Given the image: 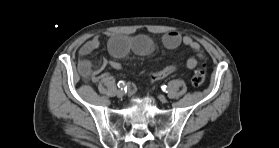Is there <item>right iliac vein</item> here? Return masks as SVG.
Returning a JSON list of instances; mask_svg holds the SVG:
<instances>
[{
    "label": "right iliac vein",
    "mask_w": 279,
    "mask_h": 148,
    "mask_svg": "<svg viewBox=\"0 0 279 148\" xmlns=\"http://www.w3.org/2000/svg\"><path fill=\"white\" fill-rule=\"evenodd\" d=\"M116 95H117V97L121 98L123 96V91L117 90Z\"/></svg>",
    "instance_id": "obj_1"
}]
</instances>
